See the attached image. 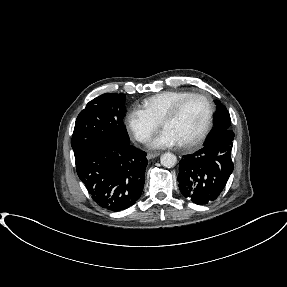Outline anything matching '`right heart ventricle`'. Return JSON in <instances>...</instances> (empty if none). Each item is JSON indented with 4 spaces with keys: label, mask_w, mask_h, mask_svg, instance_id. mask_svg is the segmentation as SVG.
I'll list each match as a JSON object with an SVG mask.
<instances>
[{
    "label": "right heart ventricle",
    "mask_w": 287,
    "mask_h": 287,
    "mask_svg": "<svg viewBox=\"0 0 287 287\" xmlns=\"http://www.w3.org/2000/svg\"><path fill=\"white\" fill-rule=\"evenodd\" d=\"M189 91L167 90L144 99L141 110L156 122H160L164 114L181 98L190 94Z\"/></svg>",
    "instance_id": "e07e8e85"
}]
</instances>
